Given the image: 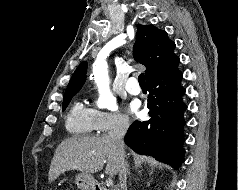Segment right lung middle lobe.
<instances>
[{"mask_svg": "<svg viewBox=\"0 0 238 190\" xmlns=\"http://www.w3.org/2000/svg\"><path fill=\"white\" fill-rule=\"evenodd\" d=\"M76 93H72V94H67L64 96V101L62 104V111H64L66 109V107L68 106L69 102L71 101L72 97L75 95Z\"/></svg>", "mask_w": 238, "mask_h": 190, "instance_id": "obj_1", "label": "right lung middle lobe"}]
</instances>
